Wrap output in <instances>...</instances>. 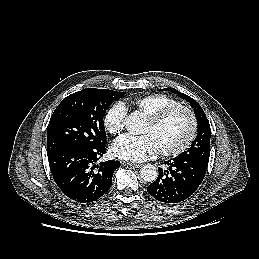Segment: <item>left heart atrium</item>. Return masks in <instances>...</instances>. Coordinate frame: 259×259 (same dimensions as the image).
I'll return each mask as SVG.
<instances>
[{"label": "left heart atrium", "mask_w": 259, "mask_h": 259, "mask_svg": "<svg viewBox=\"0 0 259 259\" xmlns=\"http://www.w3.org/2000/svg\"><path fill=\"white\" fill-rule=\"evenodd\" d=\"M111 150L114 156L130 162H142L153 158L159 151L154 139L148 134H125L114 141Z\"/></svg>", "instance_id": "obj_1"}]
</instances>
